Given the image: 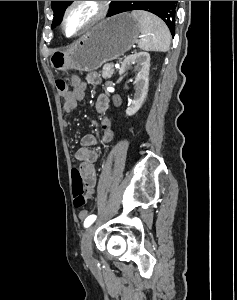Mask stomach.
<instances>
[{"label": "stomach", "instance_id": "obj_1", "mask_svg": "<svg viewBox=\"0 0 237 300\" xmlns=\"http://www.w3.org/2000/svg\"><path fill=\"white\" fill-rule=\"evenodd\" d=\"M140 33V25L130 13L115 15L97 23L70 49H56L50 55V65L56 71H96L106 61L118 59L129 51Z\"/></svg>", "mask_w": 237, "mask_h": 300}]
</instances>
